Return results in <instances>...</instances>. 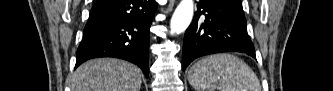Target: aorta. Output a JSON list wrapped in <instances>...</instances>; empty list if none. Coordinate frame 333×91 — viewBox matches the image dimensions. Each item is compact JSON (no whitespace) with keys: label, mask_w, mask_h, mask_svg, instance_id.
<instances>
[{"label":"aorta","mask_w":333,"mask_h":91,"mask_svg":"<svg viewBox=\"0 0 333 91\" xmlns=\"http://www.w3.org/2000/svg\"><path fill=\"white\" fill-rule=\"evenodd\" d=\"M193 0H181L170 22V34H180L190 25L193 18Z\"/></svg>","instance_id":"obj_1"}]
</instances>
